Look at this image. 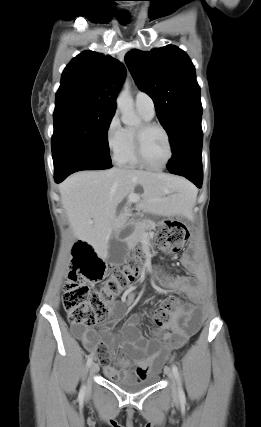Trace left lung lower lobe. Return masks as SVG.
Instances as JSON below:
<instances>
[{
  "label": "left lung lower lobe",
  "instance_id": "1",
  "mask_svg": "<svg viewBox=\"0 0 261 427\" xmlns=\"http://www.w3.org/2000/svg\"><path fill=\"white\" fill-rule=\"evenodd\" d=\"M203 134L201 124H194L180 132L171 144L173 156L167 164L170 173L182 175L198 188L202 185L201 151Z\"/></svg>",
  "mask_w": 261,
  "mask_h": 427
}]
</instances>
